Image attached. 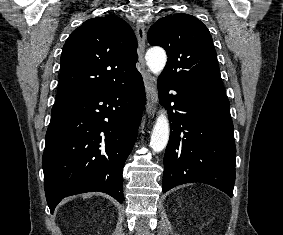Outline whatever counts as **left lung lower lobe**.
Here are the masks:
<instances>
[{
    "label": "left lung lower lobe",
    "instance_id": "1",
    "mask_svg": "<svg viewBox=\"0 0 283 235\" xmlns=\"http://www.w3.org/2000/svg\"><path fill=\"white\" fill-rule=\"evenodd\" d=\"M158 89L171 129L164 156L163 193L177 185L201 182L232 197L236 148L227 96L203 93L162 75ZM170 90L176 94H169Z\"/></svg>",
    "mask_w": 283,
    "mask_h": 235
}]
</instances>
